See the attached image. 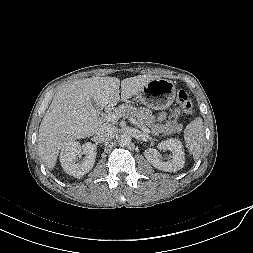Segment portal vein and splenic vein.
<instances>
[{
    "instance_id": "18ae733b",
    "label": "portal vein and splenic vein",
    "mask_w": 253,
    "mask_h": 253,
    "mask_svg": "<svg viewBox=\"0 0 253 253\" xmlns=\"http://www.w3.org/2000/svg\"><path fill=\"white\" fill-rule=\"evenodd\" d=\"M121 116L118 114V113H116V112H107L105 115H104V119L106 120V121H110V122H113V121H115V120H118L119 118H120ZM129 118V121L131 122V123H133L135 126H137L139 129H141L144 133H150V130L147 128V127H144V126H142V125H140L138 122H137V120L134 118V117H132V116H130V117H128Z\"/></svg>"
}]
</instances>
